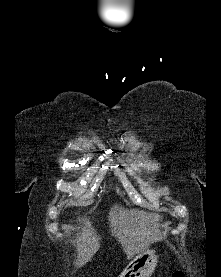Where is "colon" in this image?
I'll use <instances>...</instances> for the list:
<instances>
[{
	"label": "colon",
	"instance_id": "colon-1",
	"mask_svg": "<svg viewBox=\"0 0 221 277\" xmlns=\"http://www.w3.org/2000/svg\"><path fill=\"white\" fill-rule=\"evenodd\" d=\"M172 277H183V274L181 272H175L172 274Z\"/></svg>",
	"mask_w": 221,
	"mask_h": 277
}]
</instances>
